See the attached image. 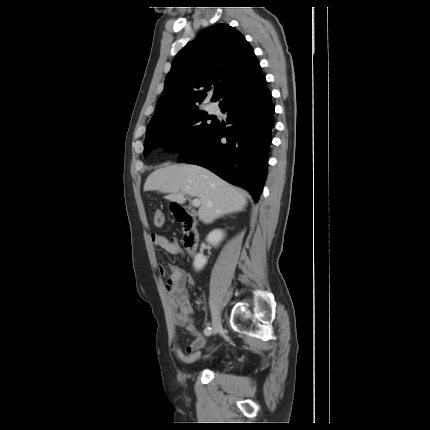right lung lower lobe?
<instances>
[{
	"instance_id": "right-lung-lower-lobe-1",
	"label": "right lung lower lobe",
	"mask_w": 430,
	"mask_h": 430,
	"mask_svg": "<svg viewBox=\"0 0 430 430\" xmlns=\"http://www.w3.org/2000/svg\"><path fill=\"white\" fill-rule=\"evenodd\" d=\"M227 112L228 130L220 122L205 142L179 160L203 166L226 181L249 190L257 202L268 168L269 146L274 127V105L265 77L244 80L219 105ZM224 137L226 141H220Z\"/></svg>"
}]
</instances>
